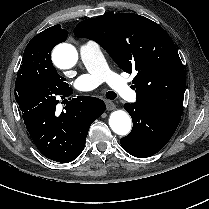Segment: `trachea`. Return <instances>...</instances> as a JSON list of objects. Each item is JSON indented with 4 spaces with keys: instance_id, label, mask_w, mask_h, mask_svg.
Here are the masks:
<instances>
[{
    "instance_id": "3493384b",
    "label": "trachea",
    "mask_w": 209,
    "mask_h": 209,
    "mask_svg": "<svg viewBox=\"0 0 209 209\" xmlns=\"http://www.w3.org/2000/svg\"><path fill=\"white\" fill-rule=\"evenodd\" d=\"M106 97H107L108 99H110V100H113V99H115V98L117 97V95H116V93H114L113 91H108V92L106 93Z\"/></svg>"
}]
</instances>
